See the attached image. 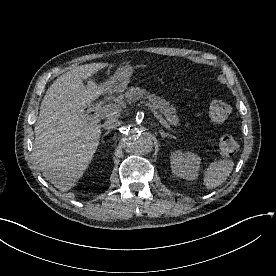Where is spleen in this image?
<instances>
[{
  "mask_svg": "<svg viewBox=\"0 0 276 276\" xmlns=\"http://www.w3.org/2000/svg\"><path fill=\"white\" fill-rule=\"evenodd\" d=\"M234 167L232 160H218L212 162L205 172L204 185L206 189H213L226 181Z\"/></svg>",
  "mask_w": 276,
  "mask_h": 276,
  "instance_id": "spleen-1",
  "label": "spleen"
}]
</instances>
